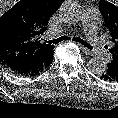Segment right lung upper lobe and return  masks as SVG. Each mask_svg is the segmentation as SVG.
Instances as JSON below:
<instances>
[{"mask_svg":"<svg viewBox=\"0 0 118 118\" xmlns=\"http://www.w3.org/2000/svg\"><path fill=\"white\" fill-rule=\"evenodd\" d=\"M64 0H22L0 17V62L49 67L53 45L43 39L50 17Z\"/></svg>","mask_w":118,"mask_h":118,"instance_id":"1","label":"right lung upper lobe"}]
</instances>
